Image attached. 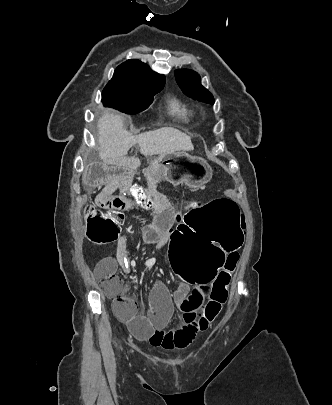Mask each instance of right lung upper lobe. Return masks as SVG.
<instances>
[{
	"mask_svg": "<svg viewBox=\"0 0 332 405\" xmlns=\"http://www.w3.org/2000/svg\"><path fill=\"white\" fill-rule=\"evenodd\" d=\"M113 79H122L140 87H157L165 84L163 75L153 72L147 64L136 59H130L119 65L114 72Z\"/></svg>",
	"mask_w": 332,
	"mask_h": 405,
	"instance_id": "right-lung-upper-lobe-1",
	"label": "right lung upper lobe"
}]
</instances>
